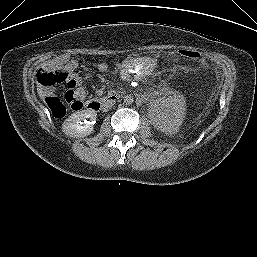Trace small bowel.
I'll list each match as a JSON object with an SVG mask.
<instances>
[{"mask_svg": "<svg viewBox=\"0 0 257 257\" xmlns=\"http://www.w3.org/2000/svg\"><path fill=\"white\" fill-rule=\"evenodd\" d=\"M78 62L75 59L66 60L65 58H61L58 60H54L45 65L46 69H59L64 74V81L66 84L71 87L73 85H77L79 82V77L76 74ZM97 69L99 71H106L108 69V63L104 60L99 61L97 63ZM41 94L45 95L46 93L51 92L50 88L40 87Z\"/></svg>", "mask_w": 257, "mask_h": 257, "instance_id": "c3829d8e", "label": "small bowel"}]
</instances>
